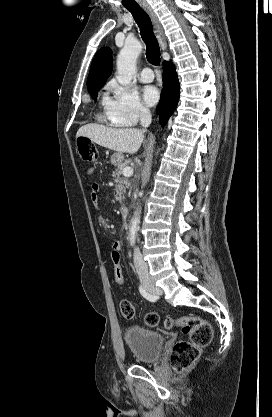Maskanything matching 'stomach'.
I'll return each instance as SVG.
<instances>
[{
  "label": "stomach",
  "mask_w": 272,
  "mask_h": 417,
  "mask_svg": "<svg viewBox=\"0 0 272 417\" xmlns=\"http://www.w3.org/2000/svg\"><path fill=\"white\" fill-rule=\"evenodd\" d=\"M123 160H124V156H123L122 152H115L111 156V163L115 166H118L121 163H123Z\"/></svg>",
  "instance_id": "0dacf381"
}]
</instances>
